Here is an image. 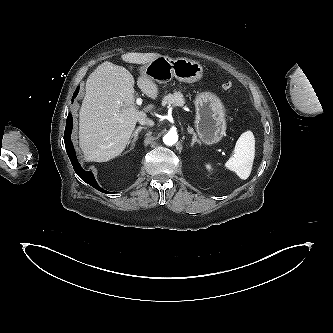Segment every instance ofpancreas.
<instances>
[{
    "mask_svg": "<svg viewBox=\"0 0 333 333\" xmlns=\"http://www.w3.org/2000/svg\"><path fill=\"white\" fill-rule=\"evenodd\" d=\"M185 100L183 94L180 91H175L173 94H168L163 98L162 105H173V106H183Z\"/></svg>",
    "mask_w": 333,
    "mask_h": 333,
    "instance_id": "pancreas-1",
    "label": "pancreas"
}]
</instances>
